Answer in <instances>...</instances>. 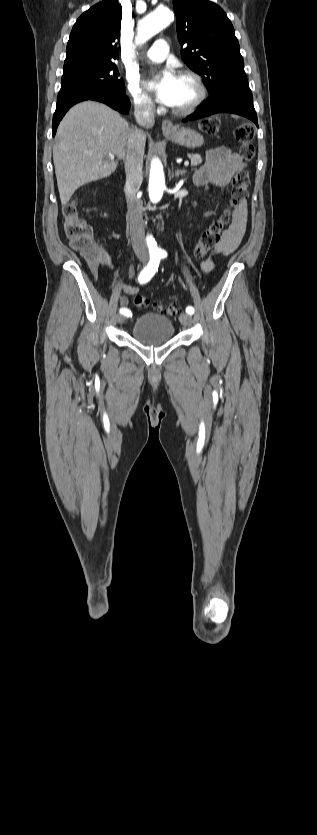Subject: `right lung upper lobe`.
Returning a JSON list of instances; mask_svg holds the SVG:
<instances>
[{"mask_svg":"<svg viewBox=\"0 0 317 835\" xmlns=\"http://www.w3.org/2000/svg\"><path fill=\"white\" fill-rule=\"evenodd\" d=\"M121 17L122 7L114 0H104L84 12L71 31L65 63H115Z\"/></svg>","mask_w":317,"mask_h":835,"instance_id":"obj_1","label":"right lung upper lobe"}]
</instances>
